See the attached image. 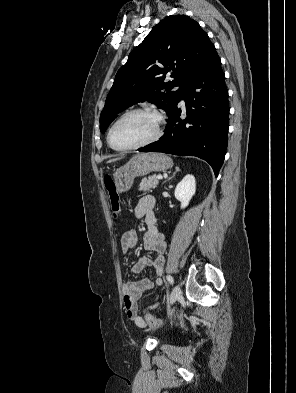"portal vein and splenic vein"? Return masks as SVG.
I'll return each instance as SVG.
<instances>
[{
	"label": "portal vein and splenic vein",
	"mask_w": 296,
	"mask_h": 393,
	"mask_svg": "<svg viewBox=\"0 0 296 393\" xmlns=\"http://www.w3.org/2000/svg\"><path fill=\"white\" fill-rule=\"evenodd\" d=\"M157 179H158V180H161V179H163V176H162V175H158V176H157Z\"/></svg>",
	"instance_id": "1"
}]
</instances>
